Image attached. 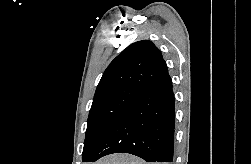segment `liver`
Returning a JSON list of instances; mask_svg holds the SVG:
<instances>
[{"mask_svg":"<svg viewBox=\"0 0 251 164\" xmlns=\"http://www.w3.org/2000/svg\"><path fill=\"white\" fill-rule=\"evenodd\" d=\"M95 164H146L141 159L128 154H113L102 158Z\"/></svg>","mask_w":251,"mask_h":164,"instance_id":"obj_1","label":"liver"}]
</instances>
